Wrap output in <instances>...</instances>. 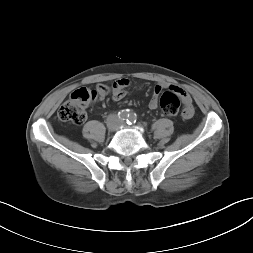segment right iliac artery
Returning <instances> with one entry per match:
<instances>
[{
	"label": "right iliac artery",
	"mask_w": 253,
	"mask_h": 253,
	"mask_svg": "<svg viewBox=\"0 0 253 253\" xmlns=\"http://www.w3.org/2000/svg\"><path fill=\"white\" fill-rule=\"evenodd\" d=\"M128 116H129L128 110H121V111L118 113V117H119V119H121V120H126V119H128Z\"/></svg>",
	"instance_id": "82829eb1"
}]
</instances>
